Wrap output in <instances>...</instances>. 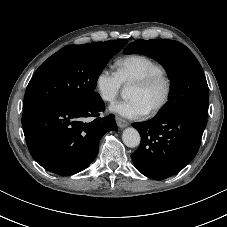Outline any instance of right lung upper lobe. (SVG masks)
Segmentation results:
<instances>
[{
    "instance_id": "cb5924a9",
    "label": "right lung upper lobe",
    "mask_w": 227,
    "mask_h": 227,
    "mask_svg": "<svg viewBox=\"0 0 227 227\" xmlns=\"http://www.w3.org/2000/svg\"><path fill=\"white\" fill-rule=\"evenodd\" d=\"M126 44H127V40H126V42H125V45H126ZM125 45H124V46H125Z\"/></svg>"
}]
</instances>
